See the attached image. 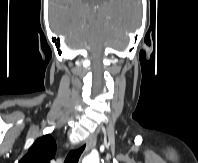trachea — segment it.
<instances>
[{"instance_id":"1","label":"trachea","mask_w":198,"mask_h":163,"mask_svg":"<svg viewBox=\"0 0 198 163\" xmlns=\"http://www.w3.org/2000/svg\"><path fill=\"white\" fill-rule=\"evenodd\" d=\"M84 149H85V145H83L82 147H80L76 150H72L66 157L64 163H78L79 158H80L82 152L84 151Z\"/></svg>"}]
</instances>
